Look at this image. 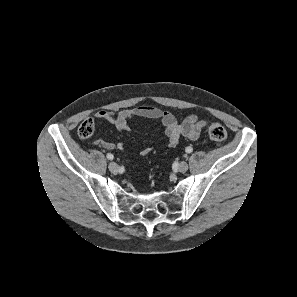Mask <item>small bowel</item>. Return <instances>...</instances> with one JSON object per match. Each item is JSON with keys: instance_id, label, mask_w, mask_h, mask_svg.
I'll list each match as a JSON object with an SVG mask.
<instances>
[{"instance_id": "obj_1", "label": "small bowel", "mask_w": 297, "mask_h": 297, "mask_svg": "<svg viewBox=\"0 0 297 297\" xmlns=\"http://www.w3.org/2000/svg\"><path fill=\"white\" fill-rule=\"evenodd\" d=\"M94 117L112 123L120 131H128L130 129L128 121L131 118L158 120L163 127L164 134L170 147H175L182 137L190 140L198 139L206 125V122L200 119L197 115H189L183 121L178 122L170 112L148 105L123 109L118 112L103 109L97 111ZM93 143L107 150H123L125 148V145L121 142L116 143L104 139H94ZM151 151V147H145L140 150L139 154L141 156H146L151 153Z\"/></svg>"}]
</instances>
